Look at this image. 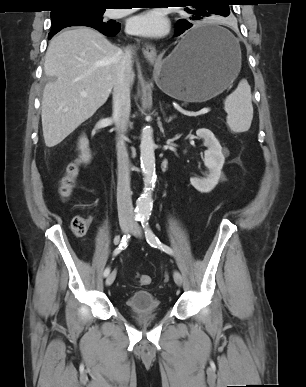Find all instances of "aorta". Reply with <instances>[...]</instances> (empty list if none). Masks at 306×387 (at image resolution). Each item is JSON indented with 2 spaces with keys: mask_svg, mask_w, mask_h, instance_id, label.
<instances>
[{
  "mask_svg": "<svg viewBox=\"0 0 306 387\" xmlns=\"http://www.w3.org/2000/svg\"><path fill=\"white\" fill-rule=\"evenodd\" d=\"M155 144L151 128H144L141 134L140 161L144 190L136 201V214L148 217L153 208L152 191L155 183Z\"/></svg>",
  "mask_w": 306,
  "mask_h": 387,
  "instance_id": "1",
  "label": "aorta"
}]
</instances>
